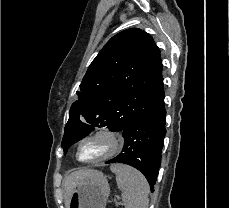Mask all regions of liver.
Returning a JSON list of instances; mask_svg holds the SVG:
<instances>
[{
	"instance_id": "liver-1",
	"label": "liver",
	"mask_w": 229,
	"mask_h": 208,
	"mask_svg": "<svg viewBox=\"0 0 229 208\" xmlns=\"http://www.w3.org/2000/svg\"><path fill=\"white\" fill-rule=\"evenodd\" d=\"M77 172H72L69 174L65 180L64 190H65V206L68 208L69 206V198L77 184L80 182H84V180H94V178H100L102 176L101 172L98 170H80V168H76Z\"/></svg>"
}]
</instances>
